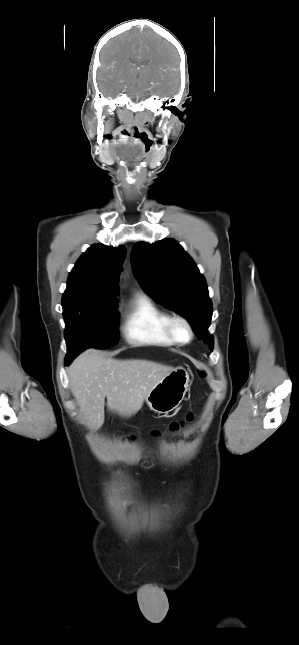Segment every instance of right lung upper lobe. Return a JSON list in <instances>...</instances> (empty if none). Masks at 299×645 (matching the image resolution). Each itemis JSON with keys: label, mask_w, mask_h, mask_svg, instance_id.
Returning <instances> with one entry per match:
<instances>
[{"label": "right lung upper lobe", "mask_w": 299, "mask_h": 645, "mask_svg": "<svg viewBox=\"0 0 299 645\" xmlns=\"http://www.w3.org/2000/svg\"><path fill=\"white\" fill-rule=\"evenodd\" d=\"M125 253L124 246L96 244L88 248L69 274L62 304L118 301L117 280Z\"/></svg>", "instance_id": "right-lung-upper-lobe-1"}]
</instances>
